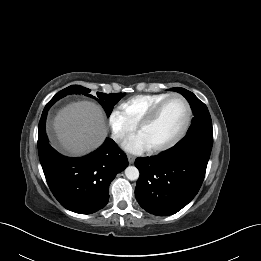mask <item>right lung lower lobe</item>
Segmentation results:
<instances>
[{
  "instance_id": "98d812e1",
  "label": "right lung lower lobe",
  "mask_w": 261,
  "mask_h": 261,
  "mask_svg": "<svg viewBox=\"0 0 261 261\" xmlns=\"http://www.w3.org/2000/svg\"><path fill=\"white\" fill-rule=\"evenodd\" d=\"M45 106L38 134L40 163L50 190L66 209L79 213H94L108 203L109 185L128 166L126 155L107 138L96 151L81 158H69L49 144L45 121L49 108Z\"/></svg>"
}]
</instances>
